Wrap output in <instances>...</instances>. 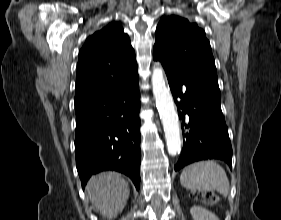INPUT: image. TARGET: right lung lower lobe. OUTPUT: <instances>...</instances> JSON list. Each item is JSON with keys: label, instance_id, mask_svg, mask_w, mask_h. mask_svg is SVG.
<instances>
[{"label": "right lung lower lobe", "instance_id": "right-lung-lower-lobe-1", "mask_svg": "<svg viewBox=\"0 0 281 220\" xmlns=\"http://www.w3.org/2000/svg\"><path fill=\"white\" fill-rule=\"evenodd\" d=\"M140 92L127 88L75 108L76 167L84 187L93 174L115 170L140 185Z\"/></svg>", "mask_w": 281, "mask_h": 220}]
</instances>
